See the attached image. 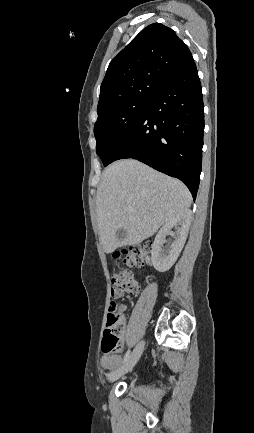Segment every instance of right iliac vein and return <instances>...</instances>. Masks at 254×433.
<instances>
[{
	"label": "right iliac vein",
	"instance_id": "63e3f726",
	"mask_svg": "<svg viewBox=\"0 0 254 433\" xmlns=\"http://www.w3.org/2000/svg\"><path fill=\"white\" fill-rule=\"evenodd\" d=\"M144 349V341H141L133 350L127 361L119 368L115 369L109 376V382H114L128 373L138 362Z\"/></svg>",
	"mask_w": 254,
	"mask_h": 433
}]
</instances>
